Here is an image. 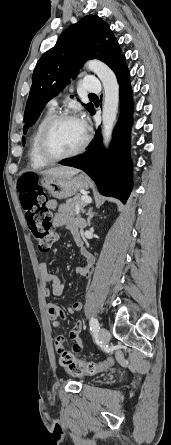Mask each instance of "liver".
Returning <instances> with one entry per match:
<instances>
[{
    "mask_svg": "<svg viewBox=\"0 0 171 445\" xmlns=\"http://www.w3.org/2000/svg\"><path fill=\"white\" fill-rule=\"evenodd\" d=\"M79 172L78 169L71 168V167H56V168H50L47 170H44L41 172L42 175H53V176H65L70 177L74 176Z\"/></svg>",
    "mask_w": 171,
    "mask_h": 445,
    "instance_id": "liver-1",
    "label": "liver"
}]
</instances>
